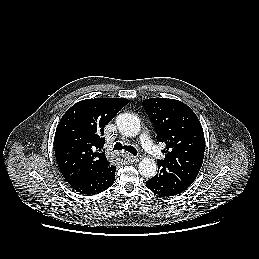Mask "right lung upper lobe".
I'll return each instance as SVG.
<instances>
[{
  "mask_svg": "<svg viewBox=\"0 0 259 259\" xmlns=\"http://www.w3.org/2000/svg\"><path fill=\"white\" fill-rule=\"evenodd\" d=\"M129 102L125 98L86 99L62 116L55 132L58 167L68 183L97 172L110 163L101 151L104 127Z\"/></svg>",
  "mask_w": 259,
  "mask_h": 259,
  "instance_id": "right-lung-upper-lobe-1",
  "label": "right lung upper lobe"
}]
</instances>
